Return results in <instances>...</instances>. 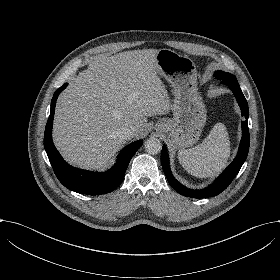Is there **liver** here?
<instances>
[{
	"instance_id": "obj_1",
	"label": "liver",
	"mask_w": 280,
	"mask_h": 280,
	"mask_svg": "<svg viewBox=\"0 0 280 280\" xmlns=\"http://www.w3.org/2000/svg\"><path fill=\"white\" fill-rule=\"evenodd\" d=\"M155 49L120 52L93 60L65 89L57 106L53 140L70 164L104 170L125 144L128 127L145 135L147 117L167 114L170 101L156 72Z\"/></svg>"
}]
</instances>
